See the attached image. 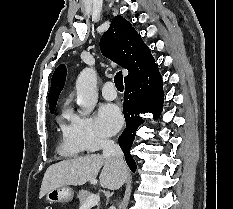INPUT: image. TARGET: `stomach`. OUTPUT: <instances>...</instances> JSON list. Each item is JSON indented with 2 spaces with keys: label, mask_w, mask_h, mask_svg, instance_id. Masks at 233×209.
Here are the masks:
<instances>
[{
  "label": "stomach",
  "mask_w": 233,
  "mask_h": 209,
  "mask_svg": "<svg viewBox=\"0 0 233 209\" xmlns=\"http://www.w3.org/2000/svg\"><path fill=\"white\" fill-rule=\"evenodd\" d=\"M73 190L70 187L64 186L55 188L45 194L47 202L53 203H68L73 199Z\"/></svg>",
  "instance_id": "0dacf381"
}]
</instances>
